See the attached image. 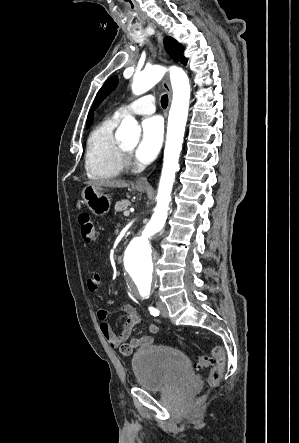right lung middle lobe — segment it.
<instances>
[{"label":"right lung middle lobe","mask_w":299,"mask_h":443,"mask_svg":"<svg viewBox=\"0 0 299 443\" xmlns=\"http://www.w3.org/2000/svg\"><path fill=\"white\" fill-rule=\"evenodd\" d=\"M86 127H87V128H89V127H90V125H87Z\"/></svg>","instance_id":"1"}]
</instances>
